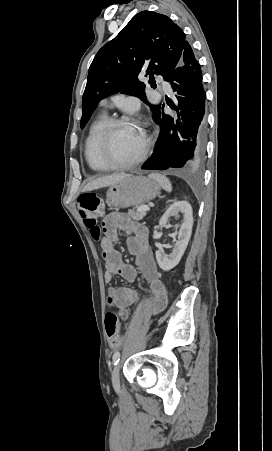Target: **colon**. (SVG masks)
Wrapping results in <instances>:
<instances>
[{
  "mask_svg": "<svg viewBox=\"0 0 272 451\" xmlns=\"http://www.w3.org/2000/svg\"><path fill=\"white\" fill-rule=\"evenodd\" d=\"M77 205L85 225L90 227L96 226L98 218L104 213V201L102 197L94 192L85 193L77 198ZM94 236H99V233L95 232ZM120 316L127 317V312L124 310L120 311ZM118 330L117 316L113 313H107L105 315V333L109 338H111V347L121 346L120 338H112L118 334Z\"/></svg>",
  "mask_w": 272,
  "mask_h": 451,
  "instance_id": "obj_1",
  "label": "colon"
}]
</instances>
